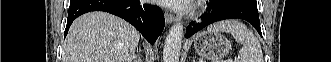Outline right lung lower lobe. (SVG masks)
Masks as SVG:
<instances>
[{"label": "right lung lower lobe", "mask_w": 331, "mask_h": 62, "mask_svg": "<svg viewBox=\"0 0 331 62\" xmlns=\"http://www.w3.org/2000/svg\"><path fill=\"white\" fill-rule=\"evenodd\" d=\"M91 11L109 12L125 19L150 44L155 43L165 25L164 15L159 7L140 3L139 0H71L64 36L75 18Z\"/></svg>", "instance_id": "98d812e1"}]
</instances>
